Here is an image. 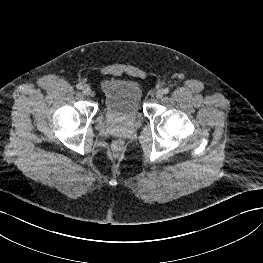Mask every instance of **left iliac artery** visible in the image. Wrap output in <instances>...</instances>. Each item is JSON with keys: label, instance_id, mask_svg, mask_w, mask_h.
Wrapping results in <instances>:
<instances>
[{"label": "left iliac artery", "instance_id": "obj_1", "mask_svg": "<svg viewBox=\"0 0 263 263\" xmlns=\"http://www.w3.org/2000/svg\"><path fill=\"white\" fill-rule=\"evenodd\" d=\"M163 92H164L165 94L169 93V88H165V89L163 90Z\"/></svg>", "mask_w": 263, "mask_h": 263}]
</instances>
